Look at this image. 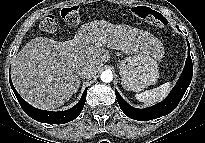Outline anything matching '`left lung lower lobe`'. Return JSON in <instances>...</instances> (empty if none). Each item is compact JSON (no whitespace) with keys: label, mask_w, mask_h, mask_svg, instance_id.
<instances>
[{"label":"left lung lower lobe","mask_w":205,"mask_h":143,"mask_svg":"<svg viewBox=\"0 0 205 143\" xmlns=\"http://www.w3.org/2000/svg\"><path fill=\"white\" fill-rule=\"evenodd\" d=\"M188 44V57L185 63V67L183 73L181 74L176 86L172 89L168 97L162 102L145 109H135L131 107L115 90L116 98L121 110L127 115L129 118L138 120V121H148L152 119H156L162 116H165L172 112L180 100L182 99L185 91L190 85L192 75H193V66L192 60L190 56V45Z\"/></svg>","instance_id":"0a47b994"}]
</instances>
